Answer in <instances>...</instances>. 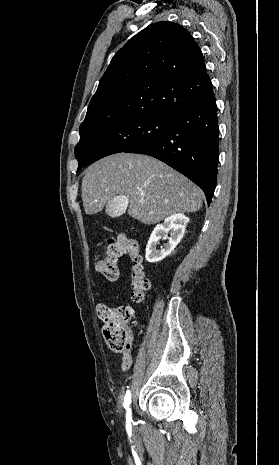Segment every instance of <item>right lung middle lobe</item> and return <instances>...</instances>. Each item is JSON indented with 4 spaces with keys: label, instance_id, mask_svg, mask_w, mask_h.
<instances>
[{
    "label": "right lung middle lobe",
    "instance_id": "obj_1",
    "mask_svg": "<svg viewBox=\"0 0 279 465\" xmlns=\"http://www.w3.org/2000/svg\"><path fill=\"white\" fill-rule=\"evenodd\" d=\"M171 125V117L137 115L80 130L75 147L78 171L102 157L142 149L162 136Z\"/></svg>",
    "mask_w": 279,
    "mask_h": 465
}]
</instances>
